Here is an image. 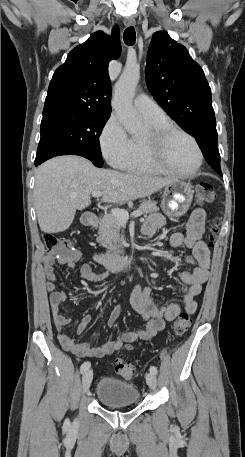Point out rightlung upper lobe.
<instances>
[{"label": "right lung upper lobe", "mask_w": 245, "mask_h": 457, "mask_svg": "<svg viewBox=\"0 0 245 457\" xmlns=\"http://www.w3.org/2000/svg\"><path fill=\"white\" fill-rule=\"evenodd\" d=\"M120 53L117 26L111 36L98 31L75 47L52 77L43 113L60 110L111 113L108 64Z\"/></svg>", "instance_id": "obj_1"}]
</instances>
